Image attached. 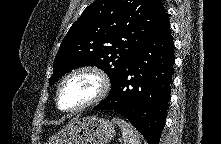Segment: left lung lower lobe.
<instances>
[{"mask_svg":"<svg viewBox=\"0 0 221 144\" xmlns=\"http://www.w3.org/2000/svg\"><path fill=\"white\" fill-rule=\"evenodd\" d=\"M174 60V44L165 16L94 110H112L125 116L149 144H159L170 100Z\"/></svg>","mask_w":221,"mask_h":144,"instance_id":"1","label":"left lung lower lobe"}]
</instances>
